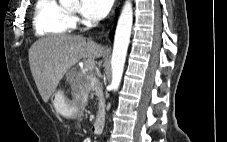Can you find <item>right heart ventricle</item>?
<instances>
[{
    "label": "right heart ventricle",
    "mask_w": 227,
    "mask_h": 142,
    "mask_svg": "<svg viewBox=\"0 0 227 142\" xmlns=\"http://www.w3.org/2000/svg\"><path fill=\"white\" fill-rule=\"evenodd\" d=\"M33 27L38 36H57L69 33L74 22L58 0H36Z\"/></svg>",
    "instance_id": "right-heart-ventricle-1"
}]
</instances>
